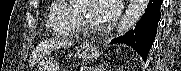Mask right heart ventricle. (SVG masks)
Instances as JSON below:
<instances>
[{"mask_svg":"<svg viewBox=\"0 0 181 71\" xmlns=\"http://www.w3.org/2000/svg\"><path fill=\"white\" fill-rule=\"evenodd\" d=\"M45 22L48 29L61 36L72 37L80 33V28L75 20L73 4L69 1L50 2Z\"/></svg>","mask_w":181,"mask_h":71,"instance_id":"right-heart-ventricle-1","label":"right heart ventricle"}]
</instances>
